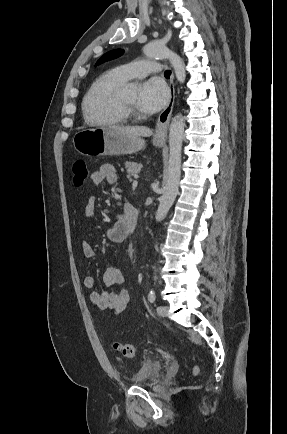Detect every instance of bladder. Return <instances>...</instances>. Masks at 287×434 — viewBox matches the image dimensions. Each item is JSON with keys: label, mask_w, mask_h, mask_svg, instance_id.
<instances>
[{"label": "bladder", "mask_w": 287, "mask_h": 434, "mask_svg": "<svg viewBox=\"0 0 287 434\" xmlns=\"http://www.w3.org/2000/svg\"><path fill=\"white\" fill-rule=\"evenodd\" d=\"M161 371L162 366L160 363L147 359L131 377V382L138 386L148 385L160 376Z\"/></svg>", "instance_id": "1"}]
</instances>
